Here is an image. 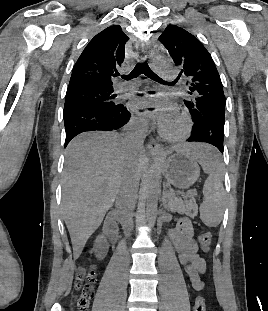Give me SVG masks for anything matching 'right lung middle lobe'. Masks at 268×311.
Instances as JSON below:
<instances>
[{"mask_svg":"<svg viewBox=\"0 0 268 311\" xmlns=\"http://www.w3.org/2000/svg\"><path fill=\"white\" fill-rule=\"evenodd\" d=\"M113 88H101L94 86H75L67 89L64 106V115L74 106H89L103 110H111L118 103L112 101Z\"/></svg>","mask_w":268,"mask_h":311,"instance_id":"1","label":"right lung middle lobe"}]
</instances>
